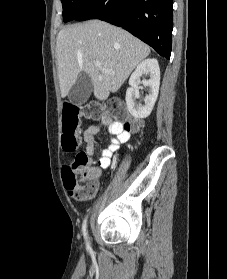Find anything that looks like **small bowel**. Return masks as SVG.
Listing matches in <instances>:
<instances>
[{
  "label": "small bowel",
  "mask_w": 227,
  "mask_h": 279,
  "mask_svg": "<svg viewBox=\"0 0 227 279\" xmlns=\"http://www.w3.org/2000/svg\"><path fill=\"white\" fill-rule=\"evenodd\" d=\"M102 127H107L108 133L111 136L109 146L101 152L98 164L90 166L87 169V177L93 181L96 186V179L100 176L101 169L109 167L113 153L118 151L120 146L127 142L130 137V132L128 130H125L121 126L115 129L112 117L110 115H105L101 119L100 125H91L83 135V139L86 144L85 149L89 156L94 154V150L97 145L94 135L99 134ZM63 171L66 172V168H63Z\"/></svg>",
  "instance_id": "1"
}]
</instances>
